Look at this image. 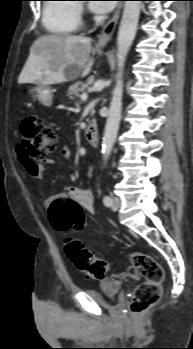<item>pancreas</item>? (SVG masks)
<instances>
[{"label":"pancreas","instance_id":"1","mask_svg":"<svg viewBox=\"0 0 193 349\" xmlns=\"http://www.w3.org/2000/svg\"><path fill=\"white\" fill-rule=\"evenodd\" d=\"M87 87H88L87 84L81 81H78L73 85L69 86L66 95L70 100L75 101L76 98L80 96V93L85 92Z\"/></svg>","mask_w":193,"mask_h":349}]
</instances>
